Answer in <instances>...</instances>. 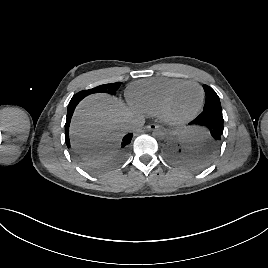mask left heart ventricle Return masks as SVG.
<instances>
[{"mask_svg":"<svg viewBox=\"0 0 268 268\" xmlns=\"http://www.w3.org/2000/svg\"><path fill=\"white\" fill-rule=\"evenodd\" d=\"M199 100V89L195 86H186L173 97L169 106V113L173 117L186 116L197 107Z\"/></svg>","mask_w":268,"mask_h":268,"instance_id":"1","label":"left heart ventricle"}]
</instances>
